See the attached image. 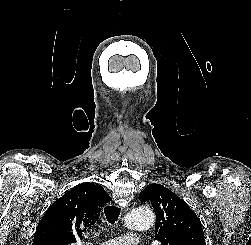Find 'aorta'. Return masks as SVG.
I'll use <instances>...</instances> for the list:
<instances>
[{"label": "aorta", "mask_w": 251, "mask_h": 245, "mask_svg": "<svg viewBox=\"0 0 251 245\" xmlns=\"http://www.w3.org/2000/svg\"><path fill=\"white\" fill-rule=\"evenodd\" d=\"M155 216L153 211L144 206L132 209L126 219L124 226L130 230H146L154 225Z\"/></svg>", "instance_id": "aorta-1"}]
</instances>
